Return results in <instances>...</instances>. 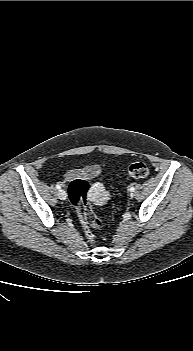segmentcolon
<instances>
[{
  "label": "colon",
  "mask_w": 193,
  "mask_h": 351,
  "mask_svg": "<svg viewBox=\"0 0 193 351\" xmlns=\"http://www.w3.org/2000/svg\"><path fill=\"white\" fill-rule=\"evenodd\" d=\"M150 174L148 166L143 162L133 163L128 168V175L132 178H146ZM89 183L81 178L72 180L68 185L70 199L75 207L76 214L82 224L83 230L90 242H94L92 229L103 226L102 221L96 216L91 202L87 198L90 191Z\"/></svg>",
  "instance_id": "colon-1"
}]
</instances>
